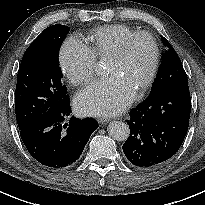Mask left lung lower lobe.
<instances>
[{
    "instance_id": "1",
    "label": "left lung lower lobe",
    "mask_w": 205,
    "mask_h": 205,
    "mask_svg": "<svg viewBox=\"0 0 205 205\" xmlns=\"http://www.w3.org/2000/svg\"><path fill=\"white\" fill-rule=\"evenodd\" d=\"M190 112L187 79L164 92L150 94L126 120L130 136L123 152L128 161L137 167L153 168L171 158L186 136Z\"/></svg>"
}]
</instances>
